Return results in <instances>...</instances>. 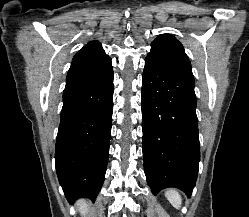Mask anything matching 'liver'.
Instances as JSON below:
<instances>
[{
	"instance_id": "6515ba94",
	"label": "liver",
	"mask_w": 249,
	"mask_h": 217,
	"mask_svg": "<svg viewBox=\"0 0 249 217\" xmlns=\"http://www.w3.org/2000/svg\"><path fill=\"white\" fill-rule=\"evenodd\" d=\"M88 203L85 201H79V210L82 215H84L88 210Z\"/></svg>"
}]
</instances>
